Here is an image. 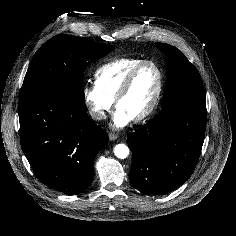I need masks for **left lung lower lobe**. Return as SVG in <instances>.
<instances>
[{
	"label": "left lung lower lobe",
	"instance_id": "left-lung-lower-lobe-1",
	"mask_svg": "<svg viewBox=\"0 0 236 236\" xmlns=\"http://www.w3.org/2000/svg\"><path fill=\"white\" fill-rule=\"evenodd\" d=\"M206 99L171 103L128 136L132 185L144 194H166L193 174L204 142Z\"/></svg>",
	"mask_w": 236,
	"mask_h": 236
}]
</instances>
